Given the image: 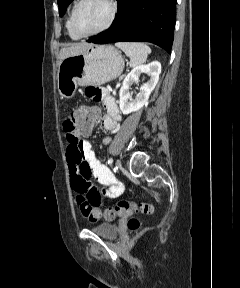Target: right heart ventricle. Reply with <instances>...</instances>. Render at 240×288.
Masks as SVG:
<instances>
[{
  "label": "right heart ventricle",
  "mask_w": 240,
  "mask_h": 288,
  "mask_svg": "<svg viewBox=\"0 0 240 288\" xmlns=\"http://www.w3.org/2000/svg\"><path fill=\"white\" fill-rule=\"evenodd\" d=\"M76 5V2L72 5L71 7V10H70V13L68 15V18H67V21H66V29H67V32H68V35L70 36V38L74 39V40H77L79 39L80 37H78L71 29V26H70V19H71V14H72V11L74 9Z\"/></svg>",
  "instance_id": "e07e8e85"
}]
</instances>
